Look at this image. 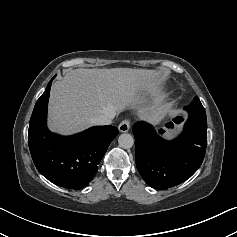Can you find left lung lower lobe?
<instances>
[{
  "mask_svg": "<svg viewBox=\"0 0 237 237\" xmlns=\"http://www.w3.org/2000/svg\"><path fill=\"white\" fill-rule=\"evenodd\" d=\"M173 125L167 123L168 127ZM151 125L137 122L133 126L136 138V165L144 181L153 188L166 189L190 178L203 162L207 146V120L187 119L184 130L175 141L161 137Z\"/></svg>",
  "mask_w": 237,
  "mask_h": 237,
  "instance_id": "1",
  "label": "left lung lower lobe"
}]
</instances>
